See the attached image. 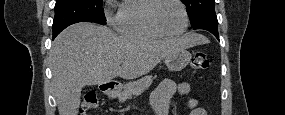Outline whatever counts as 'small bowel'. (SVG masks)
Wrapping results in <instances>:
<instances>
[{
  "label": "small bowel",
  "mask_w": 285,
  "mask_h": 115,
  "mask_svg": "<svg viewBox=\"0 0 285 115\" xmlns=\"http://www.w3.org/2000/svg\"><path fill=\"white\" fill-rule=\"evenodd\" d=\"M190 90L188 82H176L171 79L164 80L155 89L151 96L150 104L152 108V114L154 115H168L169 104L172 96L175 93L187 94ZM188 107L190 109V115H206V111L203 107L199 106L196 99H189Z\"/></svg>",
  "instance_id": "1"
}]
</instances>
